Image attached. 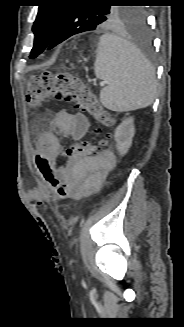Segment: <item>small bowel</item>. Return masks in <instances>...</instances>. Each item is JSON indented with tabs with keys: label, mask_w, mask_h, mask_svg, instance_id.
I'll use <instances>...</instances> for the list:
<instances>
[{
	"label": "small bowel",
	"mask_w": 184,
	"mask_h": 327,
	"mask_svg": "<svg viewBox=\"0 0 184 327\" xmlns=\"http://www.w3.org/2000/svg\"><path fill=\"white\" fill-rule=\"evenodd\" d=\"M90 129L87 116L83 113H70L60 111L51 122L48 130L42 134L38 141V153H50V164L59 160L60 182H66L71 193L70 198H80L86 194L96 192L101 188L103 180L116 165V157L111 151H103L96 156L93 153H63L60 138L68 136L74 141L86 137ZM73 160H85L74 164ZM43 173V172H42ZM25 195L35 199V206H45L46 192L40 188H25Z\"/></svg>",
	"instance_id": "obj_1"
}]
</instances>
